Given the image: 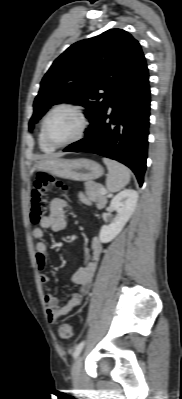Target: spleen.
<instances>
[{"instance_id": "3e777b00", "label": "spleen", "mask_w": 182, "mask_h": 399, "mask_svg": "<svg viewBox=\"0 0 182 399\" xmlns=\"http://www.w3.org/2000/svg\"><path fill=\"white\" fill-rule=\"evenodd\" d=\"M103 162L108 168L106 186L110 192H118L123 189L130 181V171L127 167L117 161L103 158Z\"/></svg>"}]
</instances>
